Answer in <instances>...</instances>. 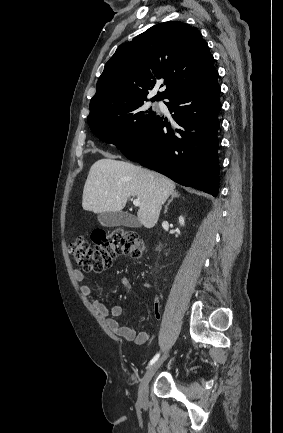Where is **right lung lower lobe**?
Masks as SVG:
<instances>
[{
  "label": "right lung lower lobe",
  "instance_id": "right-lung-lower-lobe-1",
  "mask_svg": "<svg viewBox=\"0 0 283 433\" xmlns=\"http://www.w3.org/2000/svg\"><path fill=\"white\" fill-rule=\"evenodd\" d=\"M217 78L167 97L170 102L165 104L176 123L156 115L138 141L122 153L181 185L217 196L221 109Z\"/></svg>",
  "mask_w": 283,
  "mask_h": 433
}]
</instances>
